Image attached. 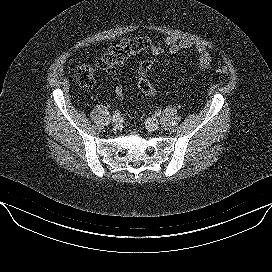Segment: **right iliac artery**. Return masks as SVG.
I'll return each mask as SVG.
<instances>
[{"label":"right iliac artery","mask_w":272,"mask_h":272,"mask_svg":"<svg viewBox=\"0 0 272 272\" xmlns=\"http://www.w3.org/2000/svg\"><path fill=\"white\" fill-rule=\"evenodd\" d=\"M120 116V112L117 110L113 113V117H119Z\"/></svg>","instance_id":"82829eb1"}]
</instances>
